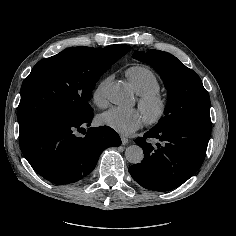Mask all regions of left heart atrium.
Wrapping results in <instances>:
<instances>
[{"mask_svg":"<svg viewBox=\"0 0 236 236\" xmlns=\"http://www.w3.org/2000/svg\"><path fill=\"white\" fill-rule=\"evenodd\" d=\"M99 122L121 135L128 136L145 124V117L137 109L113 107L99 116Z\"/></svg>","mask_w":236,"mask_h":236,"instance_id":"obj_1","label":"left heart atrium"}]
</instances>
